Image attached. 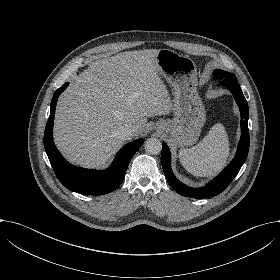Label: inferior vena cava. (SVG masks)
I'll return each mask as SVG.
<instances>
[{"instance_id":"inferior-vena-cava-1","label":"inferior vena cava","mask_w":280,"mask_h":280,"mask_svg":"<svg viewBox=\"0 0 280 280\" xmlns=\"http://www.w3.org/2000/svg\"><path fill=\"white\" fill-rule=\"evenodd\" d=\"M118 137L121 140H130L134 137V133L128 127H122L118 132Z\"/></svg>"}]
</instances>
